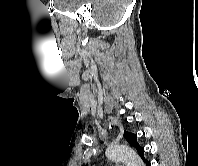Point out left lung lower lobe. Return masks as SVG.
<instances>
[{"instance_id":"1","label":"left lung lower lobe","mask_w":198,"mask_h":166,"mask_svg":"<svg viewBox=\"0 0 198 166\" xmlns=\"http://www.w3.org/2000/svg\"><path fill=\"white\" fill-rule=\"evenodd\" d=\"M144 162H145V165H146V166H150V165H151L150 162L147 161V160H145Z\"/></svg>"}]
</instances>
